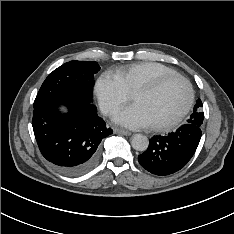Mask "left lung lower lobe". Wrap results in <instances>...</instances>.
I'll use <instances>...</instances> for the list:
<instances>
[{"label":"left lung lower lobe","mask_w":234,"mask_h":234,"mask_svg":"<svg viewBox=\"0 0 234 234\" xmlns=\"http://www.w3.org/2000/svg\"><path fill=\"white\" fill-rule=\"evenodd\" d=\"M202 127L186 123L166 136H154L138 156L140 165L155 175L165 176L182 169L194 155Z\"/></svg>","instance_id":"1"}]
</instances>
